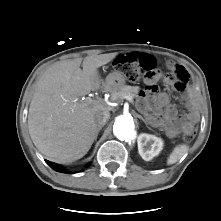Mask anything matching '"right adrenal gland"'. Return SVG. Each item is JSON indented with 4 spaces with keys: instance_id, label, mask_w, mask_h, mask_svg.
Here are the masks:
<instances>
[{
    "instance_id": "obj_1",
    "label": "right adrenal gland",
    "mask_w": 221,
    "mask_h": 221,
    "mask_svg": "<svg viewBox=\"0 0 221 221\" xmlns=\"http://www.w3.org/2000/svg\"><path fill=\"white\" fill-rule=\"evenodd\" d=\"M101 129H102V127H98V128H97L94 141L97 140L98 134H99V132H100Z\"/></svg>"
}]
</instances>
